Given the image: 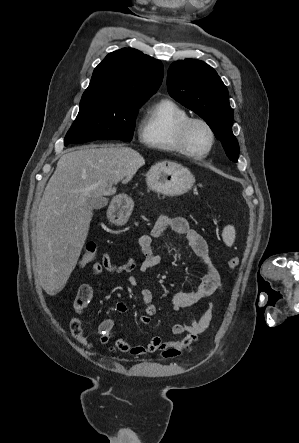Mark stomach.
Segmentation results:
<instances>
[{
	"label": "stomach",
	"mask_w": 299,
	"mask_h": 443,
	"mask_svg": "<svg viewBox=\"0 0 299 443\" xmlns=\"http://www.w3.org/2000/svg\"><path fill=\"white\" fill-rule=\"evenodd\" d=\"M195 182L191 172L176 163L157 164L146 174L149 189L168 196L184 194L191 189ZM133 201L127 195L121 194L113 198L109 208V219L116 224H125L131 214Z\"/></svg>",
	"instance_id": "obj_1"
}]
</instances>
